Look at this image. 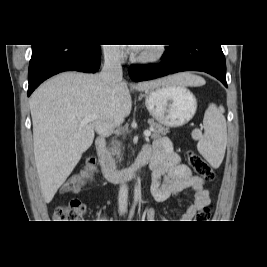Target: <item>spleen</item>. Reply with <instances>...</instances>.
I'll return each instance as SVG.
<instances>
[{
	"label": "spleen",
	"mask_w": 267,
	"mask_h": 267,
	"mask_svg": "<svg viewBox=\"0 0 267 267\" xmlns=\"http://www.w3.org/2000/svg\"><path fill=\"white\" fill-rule=\"evenodd\" d=\"M223 107H210L203 119L204 136L199 140L197 148L200 154L218 168L223 161L227 142L226 120Z\"/></svg>",
	"instance_id": "1"
}]
</instances>
